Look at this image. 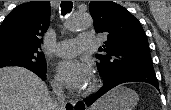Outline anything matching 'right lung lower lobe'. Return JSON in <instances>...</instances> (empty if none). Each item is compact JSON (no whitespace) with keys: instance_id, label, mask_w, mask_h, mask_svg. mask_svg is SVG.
<instances>
[{"instance_id":"right-lung-lower-lobe-1","label":"right lung lower lobe","mask_w":171,"mask_h":110,"mask_svg":"<svg viewBox=\"0 0 171 110\" xmlns=\"http://www.w3.org/2000/svg\"><path fill=\"white\" fill-rule=\"evenodd\" d=\"M35 72V71H33ZM42 80H45L46 77H45V73H40V72H35Z\"/></svg>"}]
</instances>
